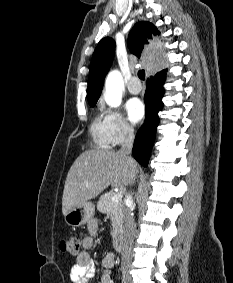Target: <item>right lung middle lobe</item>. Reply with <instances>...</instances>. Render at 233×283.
Returning a JSON list of instances; mask_svg holds the SVG:
<instances>
[{"instance_id":"1","label":"right lung middle lobe","mask_w":233,"mask_h":283,"mask_svg":"<svg viewBox=\"0 0 233 283\" xmlns=\"http://www.w3.org/2000/svg\"><path fill=\"white\" fill-rule=\"evenodd\" d=\"M91 107H94L95 105H90Z\"/></svg>"}]
</instances>
